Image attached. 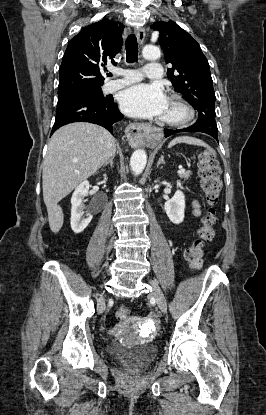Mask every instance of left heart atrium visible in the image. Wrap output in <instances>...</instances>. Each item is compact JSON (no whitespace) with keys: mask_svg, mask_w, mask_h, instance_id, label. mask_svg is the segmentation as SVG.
I'll use <instances>...</instances> for the list:
<instances>
[{"mask_svg":"<svg viewBox=\"0 0 266 415\" xmlns=\"http://www.w3.org/2000/svg\"><path fill=\"white\" fill-rule=\"evenodd\" d=\"M168 104L159 84H136L124 90L120 97L123 112L135 118L162 117Z\"/></svg>","mask_w":266,"mask_h":415,"instance_id":"left-heart-atrium-1","label":"left heart atrium"}]
</instances>
